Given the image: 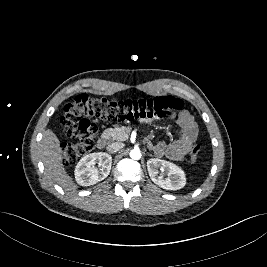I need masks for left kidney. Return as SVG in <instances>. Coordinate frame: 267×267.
Instances as JSON below:
<instances>
[{
    "label": "left kidney",
    "mask_w": 267,
    "mask_h": 267,
    "mask_svg": "<svg viewBox=\"0 0 267 267\" xmlns=\"http://www.w3.org/2000/svg\"><path fill=\"white\" fill-rule=\"evenodd\" d=\"M147 169L151 180L163 189L179 190L186 184L184 171L169 161L149 159Z\"/></svg>",
    "instance_id": "obj_1"
}]
</instances>
